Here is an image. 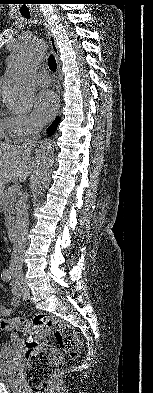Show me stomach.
Returning a JSON list of instances; mask_svg holds the SVG:
<instances>
[{"mask_svg": "<svg viewBox=\"0 0 153 393\" xmlns=\"http://www.w3.org/2000/svg\"><path fill=\"white\" fill-rule=\"evenodd\" d=\"M2 194H3V190L0 189V197L2 196Z\"/></svg>", "mask_w": 153, "mask_h": 393, "instance_id": "stomach-1", "label": "stomach"}]
</instances>
